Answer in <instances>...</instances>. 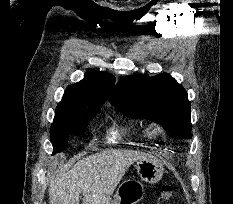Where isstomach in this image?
Listing matches in <instances>:
<instances>
[{"instance_id": "obj_1", "label": "stomach", "mask_w": 233, "mask_h": 204, "mask_svg": "<svg viewBox=\"0 0 233 204\" xmlns=\"http://www.w3.org/2000/svg\"><path fill=\"white\" fill-rule=\"evenodd\" d=\"M135 167L142 181L154 184L163 177V165L155 157L147 155L139 159ZM142 197L143 189L141 185L135 180H127L119 185L108 204H136Z\"/></svg>"}]
</instances>
